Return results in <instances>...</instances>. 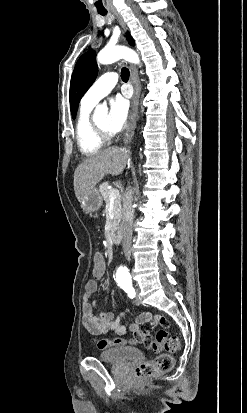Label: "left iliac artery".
I'll return each instance as SVG.
<instances>
[{"mask_svg":"<svg viewBox=\"0 0 247 413\" xmlns=\"http://www.w3.org/2000/svg\"><path fill=\"white\" fill-rule=\"evenodd\" d=\"M121 288L128 294V296L133 299L136 295L135 289L131 284L122 285Z\"/></svg>","mask_w":247,"mask_h":413,"instance_id":"1","label":"left iliac artery"}]
</instances>
